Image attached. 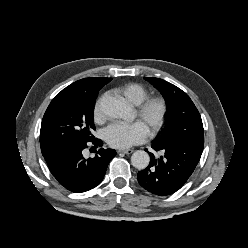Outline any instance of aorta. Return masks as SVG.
I'll return each mask as SVG.
<instances>
[{"label": "aorta", "mask_w": 248, "mask_h": 248, "mask_svg": "<svg viewBox=\"0 0 248 248\" xmlns=\"http://www.w3.org/2000/svg\"><path fill=\"white\" fill-rule=\"evenodd\" d=\"M100 109L104 115L112 118L129 119L131 115L129 105L123 99L115 97L103 98L100 102ZM149 162L150 157L143 150H137L131 156V163L137 169H145Z\"/></svg>", "instance_id": "1"}]
</instances>
